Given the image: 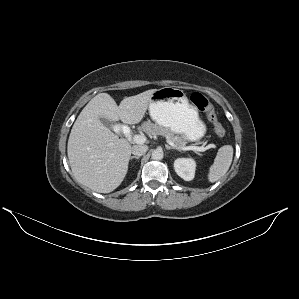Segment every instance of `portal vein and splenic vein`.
Wrapping results in <instances>:
<instances>
[{
	"label": "portal vein and splenic vein",
	"mask_w": 299,
	"mask_h": 299,
	"mask_svg": "<svg viewBox=\"0 0 299 299\" xmlns=\"http://www.w3.org/2000/svg\"><path fill=\"white\" fill-rule=\"evenodd\" d=\"M146 140H147L146 137L143 135H134L132 137V141H134L135 143H138V144H143L146 142ZM167 143L169 145H171L172 147L177 148L179 150H183V151L191 150V151H195V152H204L206 150V147H201V146L200 147L199 146H177L170 140H167ZM208 147H214V146H208Z\"/></svg>",
	"instance_id": "portal-vein-and-splenic-vein-1"
}]
</instances>
